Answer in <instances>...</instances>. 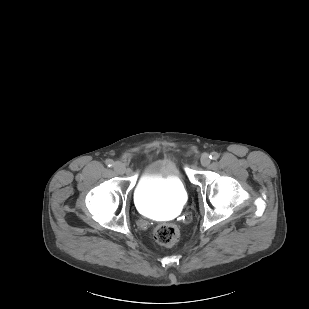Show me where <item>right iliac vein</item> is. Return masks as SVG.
<instances>
[{
    "label": "right iliac vein",
    "mask_w": 309,
    "mask_h": 309,
    "mask_svg": "<svg viewBox=\"0 0 309 309\" xmlns=\"http://www.w3.org/2000/svg\"><path fill=\"white\" fill-rule=\"evenodd\" d=\"M113 168H114V171L118 174H124L126 171V167L122 162H116Z\"/></svg>",
    "instance_id": "1"
}]
</instances>
